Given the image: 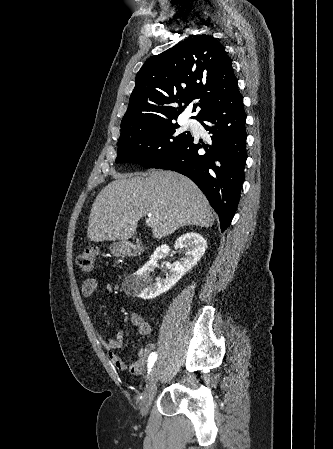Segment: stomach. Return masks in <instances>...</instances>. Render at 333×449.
<instances>
[{
	"label": "stomach",
	"instance_id": "0dacf381",
	"mask_svg": "<svg viewBox=\"0 0 333 449\" xmlns=\"http://www.w3.org/2000/svg\"><path fill=\"white\" fill-rule=\"evenodd\" d=\"M110 251L112 254L116 255V256H121L124 252V249L122 247L121 244L119 243H114L111 247H110Z\"/></svg>",
	"mask_w": 333,
	"mask_h": 449
}]
</instances>
